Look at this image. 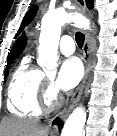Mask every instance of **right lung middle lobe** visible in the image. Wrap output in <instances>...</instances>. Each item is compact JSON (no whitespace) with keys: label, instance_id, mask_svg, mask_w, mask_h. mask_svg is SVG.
Returning <instances> with one entry per match:
<instances>
[{"label":"right lung middle lobe","instance_id":"1","mask_svg":"<svg viewBox=\"0 0 117 136\" xmlns=\"http://www.w3.org/2000/svg\"><path fill=\"white\" fill-rule=\"evenodd\" d=\"M13 60H14V59L8 60V62H7V67H9V66L12 64ZM7 72H8V69H6V71H5V77L7 76Z\"/></svg>","mask_w":117,"mask_h":136}]
</instances>
